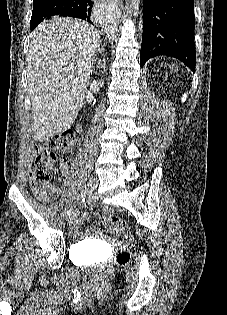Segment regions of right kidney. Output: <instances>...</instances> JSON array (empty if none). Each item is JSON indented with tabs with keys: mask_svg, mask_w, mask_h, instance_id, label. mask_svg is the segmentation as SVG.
Masks as SVG:
<instances>
[{
	"mask_svg": "<svg viewBox=\"0 0 227 315\" xmlns=\"http://www.w3.org/2000/svg\"><path fill=\"white\" fill-rule=\"evenodd\" d=\"M103 61L105 62V60H103ZM103 67L105 68V64L103 65ZM86 100H87L88 103H92L93 102L94 97H93V95L90 92H88L86 94Z\"/></svg>",
	"mask_w": 227,
	"mask_h": 315,
	"instance_id": "ca27d5eb",
	"label": "right kidney"
}]
</instances>
